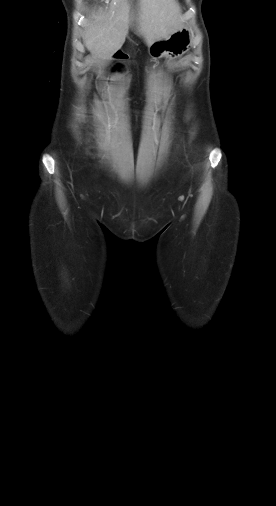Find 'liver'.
<instances>
[{
	"label": "liver",
	"mask_w": 276,
	"mask_h": 506,
	"mask_svg": "<svg viewBox=\"0 0 276 506\" xmlns=\"http://www.w3.org/2000/svg\"><path fill=\"white\" fill-rule=\"evenodd\" d=\"M137 6L134 13L129 3L120 0L112 17L105 16L103 11L92 13V23L84 34L87 50L97 58L110 57L123 45L133 21L148 45L183 27L181 8L176 0H139Z\"/></svg>",
	"instance_id": "1"
}]
</instances>
